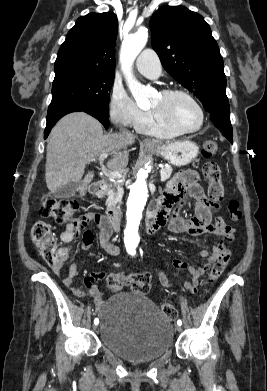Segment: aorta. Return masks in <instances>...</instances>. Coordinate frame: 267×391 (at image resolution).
<instances>
[{
	"instance_id": "762f6f07",
	"label": "aorta",
	"mask_w": 267,
	"mask_h": 391,
	"mask_svg": "<svg viewBox=\"0 0 267 391\" xmlns=\"http://www.w3.org/2000/svg\"><path fill=\"white\" fill-rule=\"evenodd\" d=\"M147 40L148 30L145 27H140L135 33L124 37L120 50V62L126 75L127 86L139 106L148 102L149 90L133 77L131 67L145 47ZM147 177L148 171L141 168L136 175L127 200L125 243L131 252L135 251L139 242V226L148 197Z\"/></svg>"
}]
</instances>
